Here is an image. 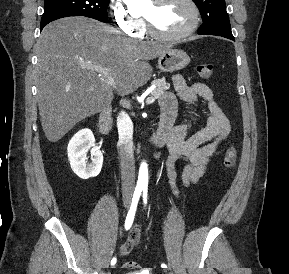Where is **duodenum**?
Masks as SVG:
<instances>
[{
    "label": "duodenum",
    "mask_w": 289,
    "mask_h": 274,
    "mask_svg": "<svg viewBox=\"0 0 289 274\" xmlns=\"http://www.w3.org/2000/svg\"><path fill=\"white\" fill-rule=\"evenodd\" d=\"M175 112H164L161 113L160 121L158 124L157 131L148 140V145L152 148H160L164 146L170 136L173 122L175 119ZM112 122L111 108H105L98 120V129L101 134L107 135Z\"/></svg>",
    "instance_id": "1"
}]
</instances>
